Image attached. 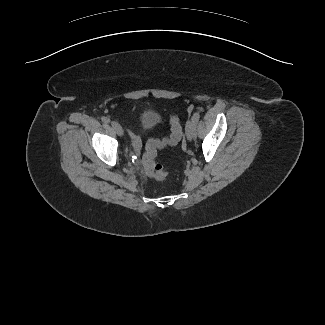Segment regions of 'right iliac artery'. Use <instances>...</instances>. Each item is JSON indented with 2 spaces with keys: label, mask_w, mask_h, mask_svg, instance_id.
Here are the masks:
<instances>
[{
  "label": "right iliac artery",
  "mask_w": 325,
  "mask_h": 325,
  "mask_svg": "<svg viewBox=\"0 0 325 325\" xmlns=\"http://www.w3.org/2000/svg\"><path fill=\"white\" fill-rule=\"evenodd\" d=\"M101 120H102L104 123H109V122H110V119H109L108 117H105V116H103V117L101 118Z\"/></svg>",
  "instance_id": "1"
}]
</instances>
